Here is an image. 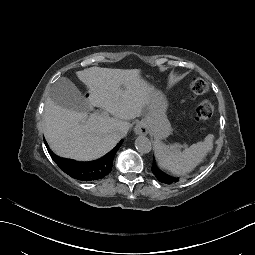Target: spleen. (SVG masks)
<instances>
[{"label":"spleen","instance_id":"3e777b00","mask_svg":"<svg viewBox=\"0 0 255 255\" xmlns=\"http://www.w3.org/2000/svg\"><path fill=\"white\" fill-rule=\"evenodd\" d=\"M213 135L205 137L200 141L183 151L178 149V145L169 147L161 142L159 138L155 139L154 148L156 157L160 165L175 174H184L192 170L212 149Z\"/></svg>","mask_w":255,"mask_h":255}]
</instances>
